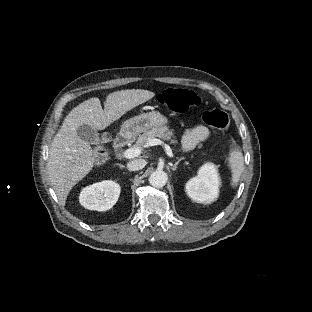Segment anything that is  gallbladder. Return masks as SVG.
I'll use <instances>...</instances> for the list:
<instances>
[{"label":"gallbladder","mask_w":312,"mask_h":312,"mask_svg":"<svg viewBox=\"0 0 312 312\" xmlns=\"http://www.w3.org/2000/svg\"><path fill=\"white\" fill-rule=\"evenodd\" d=\"M77 135L85 142L91 145L99 146L101 147V144H98V141L100 140L97 130L92 128L89 125H81L77 129ZM103 149V148H102Z\"/></svg>","instance_id":"bac80fb5"}]
</instances>
